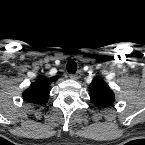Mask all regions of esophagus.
Instances as JSON below:
<instances>
[{"mask_svg": "<svg viewBox=\"0 0 145 145\" xmlns=\"http://www.w3.org/2000/svg\"><path fill=\"white\" fill-rule=\"evenodd\" d=\"M81 71H78L77 73L75 74H71L70 75V78L73 79V80H78L80 77H81Z\"/></svg>", "mask_w": 145, "mask_h": 145, "instance_id": "1", "label": "esophagus"}]
</instances>
